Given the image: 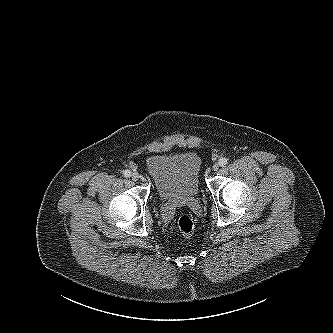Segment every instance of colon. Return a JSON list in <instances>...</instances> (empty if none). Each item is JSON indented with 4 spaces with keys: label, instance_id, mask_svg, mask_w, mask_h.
Returning <instances> with one entry per match:
<instances>
[{
    "label": "colon",
    "instance_id": "1",
    "mask_svg": "<svg viewBox=\"0 0 333 333\" xmlns=\"http://www.w3.org/2000/svg\"><path fill=\"white\" fill-rule=\"evenodd\" d=\"M195 223L189 215H182L178 220V230L184 236H190L194 232Z\"/></svg>",
    "mask_w": 333,
    "mask_h": 333
}]
</instances>
